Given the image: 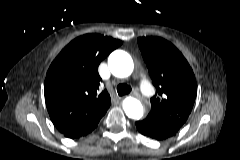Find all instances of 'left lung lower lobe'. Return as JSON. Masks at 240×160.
<instances>
[{"label":"left lung lower lobe","instance_id":"0a47b994","mask_svg":"<svg viewBox=\"0 0 240 160\" xmlns=\"http://www.w3.org/2000/svg\"><path fill=\"white\" fill-rule=\"evenodd\" d=\"M136 126L142 135L158 141L168 139L176 134V132L156 122L150 115L141 121H137Z\"/></svg>","mask_w":240,"mask_h":160}]
</instances>
